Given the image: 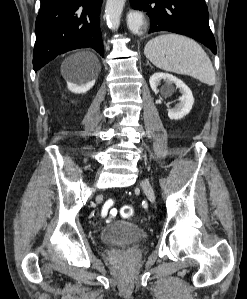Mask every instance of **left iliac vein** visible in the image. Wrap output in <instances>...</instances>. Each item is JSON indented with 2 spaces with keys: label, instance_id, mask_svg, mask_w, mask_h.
I'll return each mask as SVG.
<instances>
[{
  "label": "left iliac vein",
  "instance_id": "1",
  "mask_svg": "<svg viewBox=\"0 0 247 299\" xmlns=\"http://www.w3.org/2000/svg\"><path fill=\"white\" fill-rule=\"evenodd\" d=\"M141 186H142L146 196L148 197V199L152 203L155 202V194H154L153 188H152L151 184L149 183V181L146 179L142 180Z\"/></svg>",
  "mask_w": 247,
  "mask_h": 299
}]
</instances>
